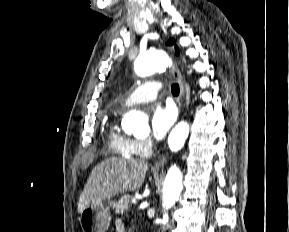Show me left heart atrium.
<instances>
[{"label": "left heart atrium", "mask_w": 289, "mask_h": 232, "mask_svg": "<svg viewBox=\"0 0 289 232\" xmlns=\"http://www.w3.org/2000/svg\"><path fill=\"white\" fill-rule=\"evenodd\" d=\"M176 120V112L172 106H156L151 113L150 128L152 136L160 140L164 138Z\"/></svg>", "instance_id": "39dd6f15"}]
</instances>
